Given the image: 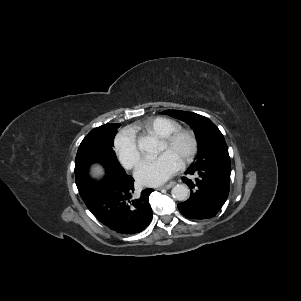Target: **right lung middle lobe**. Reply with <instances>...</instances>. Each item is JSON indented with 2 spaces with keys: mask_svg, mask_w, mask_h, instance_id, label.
I'll return each instance as SVG.
<instances>
[{
  "mask_svg": "<svg viewBox=\"0 0 301 301\" xmlns=\"http://www.w3.org/2000/svg\"><path fill=\"white\" fill-rule=\"evenodd\" d=\"M119 126V123H114L110 127H97L83 139L75 159L77 187H83L90 180L88 171L92 163L102 164L106 172H125L113 151V141Z\"/></svg>",
  "mask_w": 301,
  "mask_h": 301,
  "instance_id": "dd1d6c3e",
  "label": "right lung middle lobe"
}]
</instances>
